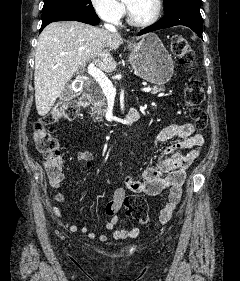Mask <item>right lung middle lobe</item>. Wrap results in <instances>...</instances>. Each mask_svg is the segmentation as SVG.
Listing matches in <instances>:
<instances>
[{
  "label": "right lung middle lobe",
  "mask_w": 240,
  "mask_h": 281,
  "mask_svg": "<svg viewBox=\"0 0 240 281\" xmlns=\"http://www.w3.org/2000/svg\"><path fill=\"white\" fill-rule=\"evenodd\" d=\"M62 13L96 16L91 0H44L42 21Z\"/></svg>",
  "instance_id": "obj_1"
}]
</instances>
